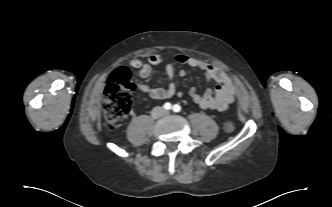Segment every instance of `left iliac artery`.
<instances>
[{"instance_id": "1", "label": "left iliac artery", "mask_w": 332, "mask_h": 207, "mask_svg": "<svg viewBox=\"0 0 332 207\" xmlns=\"http://www.w3.org/2000/svg\"><path fill=\"white\" fill-rule=\"evenodd\" d=\"M172 110L174 112H180L181 111V106L178 105V104H175L173 107H172Z\"/></svg>"}]
</instances>
